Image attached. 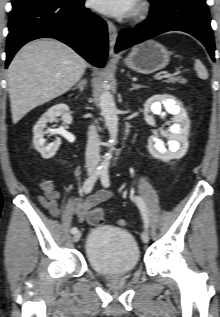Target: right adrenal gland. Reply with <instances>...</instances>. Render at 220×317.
Here are the masks:
<instances>
[{
  "label": "right adrenal gland",
  "instance_id": "1",
  "mask_svg": "<svg viewBox=\"0 0 220 317\" xmlns=\"http://www.w3.org/2000/svg\"><path fill=\"white\" fill-rule=\"evenodd\" d=\"M86 85H87V80H86V79H83V80H81V81L73 88V90L79 88L80 91L83 92V91H84V88L86 87Z\"/></svg>",
  "mask_w": 220,
  "mask_h": 317
}]
</instances>
